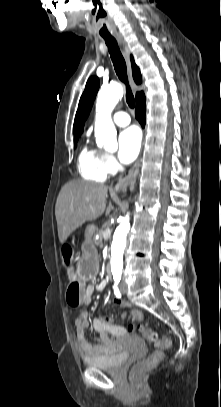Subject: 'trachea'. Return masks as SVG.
<instances>
[{
  "instance_id": "obj_1",
  "label": "trachea",
  "mask_w": 221,
  "mask_h": 407,
  "mask_svg": "<svg viewBox=\"0 0 221 407\" xmlns=\"http://www.w3.org/2000/svg\"><path fill=\"white\" fill-rule=\"evenodd\" d=\"M108 47L111 60L114 65L115 72L119 79L126 85V102L130 108H134L135 100L131 88L128 83L127 69L125 60L121 54L116 39L112 36L103 37Z\"/></svg>"
}]
</instances>
